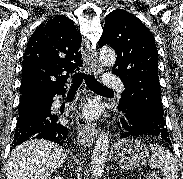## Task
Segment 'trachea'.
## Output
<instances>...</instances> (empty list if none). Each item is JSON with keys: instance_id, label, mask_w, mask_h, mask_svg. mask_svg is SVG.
Instances as JSON below:
<instances>
[{"instance_id": "1", "label": "trachea", "mask_w": 183, "mask_h": 179, "mask_svg": "<svg viewBox=\"0 0 183 179\" xmlns=\"http://www.w3.org/2000/svg\"><path fill=\"white\" fill-rule=\"evenodd\" d=\"M85 80L87 86L93 91H112L102 84H100L93 76L86 75L85 73L79 72L73 78L71 82V86L69 88L70 92L76 91L81 83Z\"/></svg>"}]
</instances>
